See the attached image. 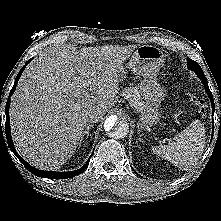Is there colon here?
<instances>
[{"instance_id":"1","label":"colon","mask_w":221,"mask_h":221,"mask_svg":"<svg viewBox=\"0 0 221 221\" xmlns=\"http://www.w3.org/2000/svg\"><path fill=\"white\" fill-rule=\"evenodd\" d=\"M190 100L193 103L196 111L199 114H204L205 113V104H204V101L202 99H200L199 97L191 94L190 95Z\"/></svg>"}]
</instances>
